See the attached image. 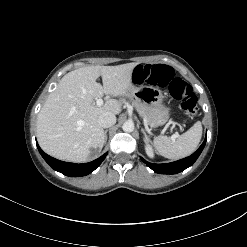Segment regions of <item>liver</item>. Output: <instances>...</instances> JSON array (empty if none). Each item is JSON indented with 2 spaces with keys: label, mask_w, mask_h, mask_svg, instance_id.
Instances as JSON below:
<instances>
[{
  "label": "liver",
  "mask_w": 247,
  "mask_h": 247,
  "mask_svg": "<svg viewBox=\"0 0 247 247\" xmlns=\"http://www.w3.org/2000/svg\"><path fill=\"white\" fill-rule=\"evenodd\" d=\"M136 66L137 63L86 66L64 75L38 114L40 147L52 157L71 162L87 161L91 148L100 152L104 130L98 118L104 113L118 115L121 105L108 100L97 106L95 100L104 94L129 96ZM100 76L103 86L97 82Z\"/></svg>",
  "instance_id": "obj_1"
}]
</instances>
